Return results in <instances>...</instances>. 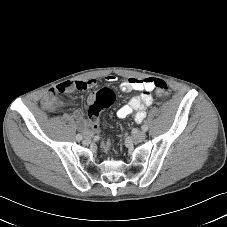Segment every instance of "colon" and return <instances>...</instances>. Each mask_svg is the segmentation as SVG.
Listing matches in <instances>:
<instances>
[{"label": "colon", "instance_id": "colon-1", "mask_svg": "<svg viewBox=\"0 0 227 227\" xmlns=\"http://www.w3.org/2000/svg\"><path fill=\"white\" fill-rule=\"evenodd\" d=\"M155 88L163 94H167L169 92V88L165 81L161 79H154ZM78 89L83 88L82 84L77 85ZM115 100L114 92L109 88H103L99 90L95 95L88 107V116L91 121V125L93 129L98 132L99 131V116L101 112L107 108H109Z\"/></svg>", "mask_w": 227, "mask_h": 227}]
</instances>
